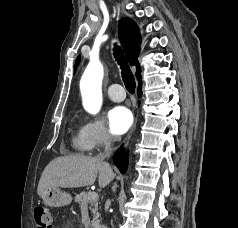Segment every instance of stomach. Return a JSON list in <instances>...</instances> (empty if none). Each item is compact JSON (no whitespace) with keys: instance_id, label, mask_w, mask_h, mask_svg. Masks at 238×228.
<instances>
[{"instance_id":"1","label":"stomach","mask_w":238,"mask_h":228,"mask_svg":"<svg viewBox=\"0 0 238 228\" xmlns=\"http://www.w3.org/2000/svg\"><path fill=\"white\" fill-rule=\"evenodd\" d=\"M43 202L50 207L68 205L72 201L69 193L61 191L58 187H47L41 195Z\"/></svg>"}]
</instances>
